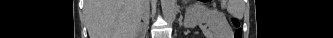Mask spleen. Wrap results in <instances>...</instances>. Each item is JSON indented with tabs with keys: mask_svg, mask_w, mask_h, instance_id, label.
I'll list each match as a JSON object with an SVG mask.
<instances>
[{
	"mask_svg": "<svg viewBox=\"0 0 333 38\" xmlns=\"http://www.w3.org/2000/svg\"><path fill=\"white\" fill-rule=\"evenodd\" d=\"M231 12H232L233 14H236V13H237L236 10H235L234 8H232Z\"/></svg>",
	"mask_w": 333,
	"mask_h": 38,
	"instance_id": "3e777b00",
	"label": "spleen"
}]
</instances>
